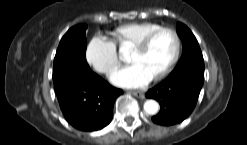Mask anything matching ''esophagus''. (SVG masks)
Returning <instances> with one entry per match:
<instances>
[{
  "mask_svg": "<svg viewBox=\"0 0 247 145\" xmlns=\"http://www.w3.org/2000/svg\"><path fill=\"white\" fill-rule=\"evenodd\" d=\"M128 93L134 95L137 98H141V99L145 98V95H144V93L142 91H132V90H130V91H128Z\"/></svg>",
  "mask_w": 247,
  "mask_h": 145,
  "instance_id": "1",
  "label": "esophagus"
}]
</instances>
